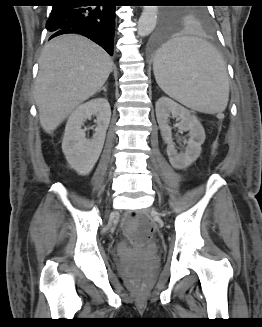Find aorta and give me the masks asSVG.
<instances>
[{
    "label": "aorta",
    "instance_id": "aorta-1",
    "mask_svg": "<svg viewBox=\"0 0 262 327\" xmlns=\"http://www.w3.org/2000/svg\"><path fill=\"white\" fill-rule=\"evenodd\" d=\"M159 9L157 6H144L137 25V34L140 37L148 36L155 28Z\"/></svg>",
    "mask_w": 262,
    "mask_h": 327
}]
</instances>
